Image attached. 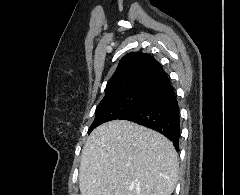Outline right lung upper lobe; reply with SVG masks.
Listing matches in <instances>:
<instances>
[{"instance_id": "1", "label": "right lung upper lobe", "mask_w": 240, "mask_h": 195, "mask_svg": "<svg viewBox=\"0 0 240 195\" xmlns=\"http://www.w3.org/2000/svg\"><path fill=\"white\" fill-rule=\"evenodd\" d=\"M167 79L162 66L149 54L131 52L120 60L108 82L105 96L123 92L147 93Z\"/></svg>"}]
</instances>
